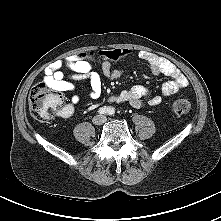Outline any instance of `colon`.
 Segmentation results:
<instances>
[{
	"label": "colon",
	"instance_id": "colon-1",
	"mask_svg": "<svg viewBox=\"0 0 221 221\" xmlns=\"http://www.w3.org/2000/svg\"><path fill=\"white\" fill-rule=\"evenodd\" d=\"M129 54L126 49L105 50L98 53L94 51L78 55L79 59L91 62L98 58L106 61H118ZM64 97L58 90L49 88L43 83L35 85L29 96V109L32 116L39 121H48L62 112ZM173 112L176 115L188 114L191 104L185 99H176L172 104Z\"/></svg>",
	"mask_w": 221,
	"mask_h": 221
}]
</instances>
